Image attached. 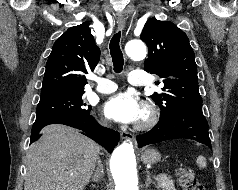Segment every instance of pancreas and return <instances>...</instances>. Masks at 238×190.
I'll return each instance as SVG.
<instances>
[{"label":"pancreas","mask_w":238,"mask_h":190,"mask_svg":"<svg viewBox=\"0 0 238 190\" xmlns=\"http://www.w3.org/2000/svg\"><path fill=\"white\" fill-rule=\"evenodd\" d=\"M157 186L161 188V190H176L174 186V182L170 177H157Z\"/></svg>","instance_id":"cf45deb5"}]
</instances>
